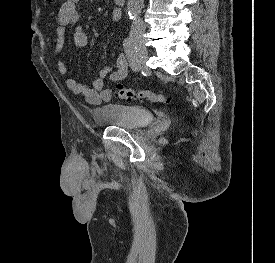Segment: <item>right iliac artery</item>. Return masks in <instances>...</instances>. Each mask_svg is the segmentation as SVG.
<instances>
[{"label":"right iliac artery","instance_id":"obj_1","mask_svg":"<svg viewBox=\"0 0 275 263\" xmlns=\"http://www.w3.org/2000/svg\"><path fill=\"white\" fill-rule=\"evenodd\" d=\"M123 46H124V49H125V53H126L128 59H129L131 68L134 71L140 70L141 65H140V62L138 60V55H137L136 48L133 44V40L130 37H127L124 40Z\"/></svg>","mask_w":275,"mask_h":263}]
</instances>
